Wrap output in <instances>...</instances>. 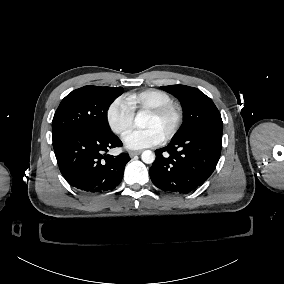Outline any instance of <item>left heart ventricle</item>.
Wrapping results in <instances>:
<instances>
[{
	"instance_id": "left-heart-ventricle-1",
	"label": "left heart ventricle",
	"mask_w": 284,
	"mask_h": 284,
	"mask_svg": "<svg viewBox=\"0 0 284 284\" xmlns=\"http://www.w3.org/2000/svg\"><path fill=\"white\" fill-rule=\"evenodd\" d=\"M170 124L171 118L169 116L156 118L149 114L145 121V126L147 128L155 129L162 137H164L168 132Z\"/></svg>"
}]
</instances>
